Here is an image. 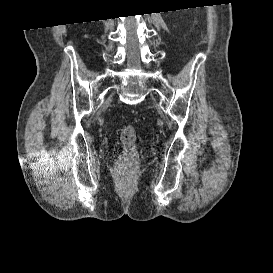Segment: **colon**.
<instances>
[{"label": "colon", "mask_w": 273, "mask_h": 273, "mask_svg": "<svg viewBox=\"0 0 273 273\" xmlns=\"http://www.w3.org/2000/svg\"><path fill=\"white\" fill-rule=\"evenodd\" d=\"M121 140L124 149L118 163V171L125 174L135 167L137 160L136 132L133 126L127 125L123 128Z\"/></svg>", "instance_id": "colon-1"}]
</instances>
